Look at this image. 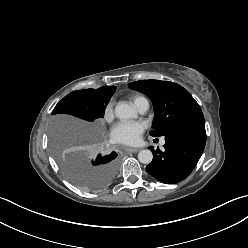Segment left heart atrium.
<instances>
[{
  "label": "left heart atrium",
  "instance_id": "39dd6f15",
  "mask_svg": "<svg viewBox=\"0 0 248 248\" xmlns=\"http://www.w3.org/2000/svg\"><path fill=\"white\" fill-rule=\"evenodd\" d=\"M144 128L145 126L141 122L120 121L113 126L111 137L115 142L134 145L139 141Z\"/></svg>",
  "mask_w": 248,
  "mask_h": 248
}]
</instances>
